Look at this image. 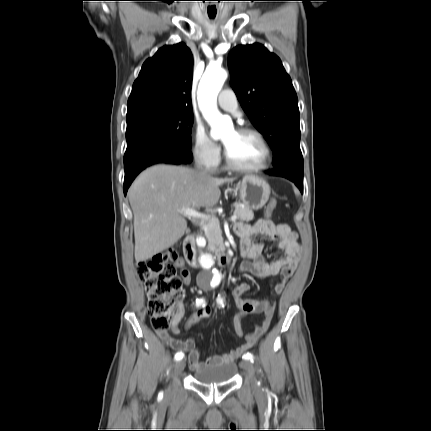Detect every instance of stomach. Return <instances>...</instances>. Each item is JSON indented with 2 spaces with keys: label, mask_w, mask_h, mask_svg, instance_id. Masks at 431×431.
I'll list each match as a JSON object with an SVG mask.
<instances>
[{
  "label": "stomach",
  "mask_w": 431,
  "mask_h": 431,
  "mask_svg": "<svg viewBox=\"0 0 431 431\" xmlns=\"http://www.w3.org/2000/svg\"><path fill=\"white\" fill-rule=\"evenodd\" d=\"M241 202L250 209H261L269 199L270 186L256 176H245L236 185Z\"/></svg>",
  "instance_id": "stomach-1"
}]
</instances>
